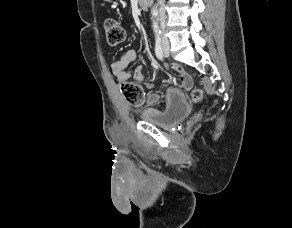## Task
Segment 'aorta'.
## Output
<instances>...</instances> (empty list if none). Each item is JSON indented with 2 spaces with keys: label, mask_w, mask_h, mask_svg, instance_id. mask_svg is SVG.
I'll return each instance as SVG.
<instances>
[{
  "label": "aorta",
  "mask_w": 292,
  "mask_h": 228,
  "mask_svg": "<svg viewBox=\"0 0 292 228\" xmlns=\"http://www.w3.org/2000/svg\"><path fill=\"white\" fill-rule=\"evenodd\" d=\"M151 15H152V18H153V22H152L153 29H154V31H157L158 30V23H157L158 10H157V6H154L151 9Z\"/></svg>",
  "instance_id": "aorta-1"
}]
</instances>
